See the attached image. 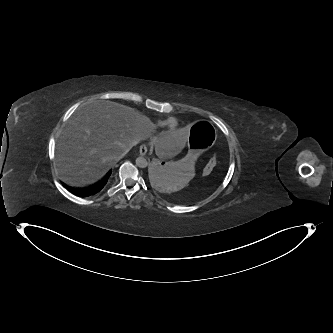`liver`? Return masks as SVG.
<instances>
[{"label": "liver", "mask_w": 333, "mask_h": 333, "mask_svg": "<svg viewBox=\"0 0 333 333\" xmlns=\"http://www.w3.org/2000/svg\"><path fill=\"white\" fill-rule=\"evenodd\" d=\"M154 131L150 119L134 108L112 102L93 101L78 108L66 122L56 145V172L73 187L101 179L131 150ZM158 155L174 158L189 144L184 130L163 131L151 138Z\"/></svg>", "instance_id": "6515ba94"}]
</instances>
